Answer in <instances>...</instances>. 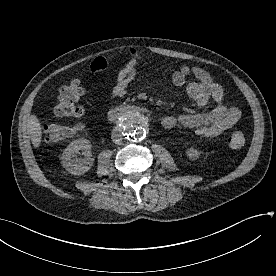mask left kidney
<instances>
[{
	"mask_svg": "<svg viewBox=\"0 0 276 276\" xmlns=\"http://www.w3.org/2000/svg\"><path fill=\"white\" fill-rule=\"evenodd\" d=\"M187 156L193 160H196L199 158L200 153L194 149V148H189L186 152Z\"/></svg>",
	"mask_w": 276,
	"mask_h": 276,
	"instance_id": "1",
	"label": "left kidney"
}]
</instances>
